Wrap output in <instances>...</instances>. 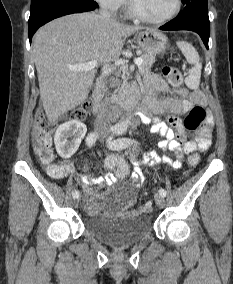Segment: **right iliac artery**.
Here are the masks:
<instances>
[{"instance_id":"1","label":"right iliac artery","mask_w":233,"mask_h":284,"mask_svg":"<svg viewBox=\"0 0 233 284\" xmlns=\"http://www.w3.org/2000/svg\"><path fill=\"white\" fill-rule=\"evenodd\" d=\"M110 131L112 133H115L117 131V127H111L110 128ZM98 139V133L97 132H91L88 134V136L86 137V144L89 146V147H92L95 142L97 141ZM79 191L75 190L72 192V196L73 198H78L79 197Z\"/></svg>"}]
</instances>
